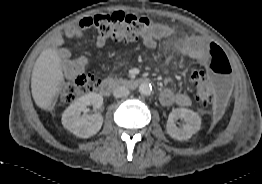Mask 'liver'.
Instances as JSON below:
<instances>
[{"label": "liver", "instance_id": "6515ba94", "mask_svg": "<svg viewBox=\"0 0 262 184\" xmlns=\"http://www.w3.org/2000/svg\"><path fill=\"white\" fill-rule=\"evenodd\" d=\"M63 81L61 59L56 49L43 50L36 60L31 77V91L36 105L43 110H51Z\"/></svg>", "mask_w": 262, "mask_h": 184}]
</instances>
